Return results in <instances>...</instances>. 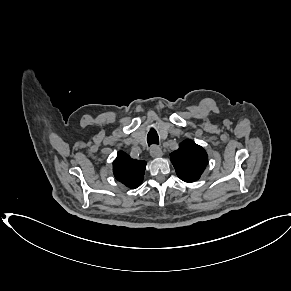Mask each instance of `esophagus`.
<instances>
[{"label": "esophagus", "mask_w": 291, "mask_h": 291, "mask_svg": "<svg viewBox=\"0 0 291 291\" xmlns=\"http://www.w3.org/2000/svg\"><path fill=\"white\" fill-rule=\"evenodd\" d=\"M150 155L153 157V158H159V157H162L163 155V152L161 150L160 147L154 145L150 148Z\"/></svg>", "instance_id": "esophagus-1"}]
</instances>
